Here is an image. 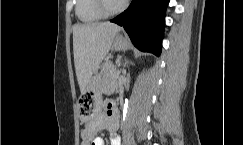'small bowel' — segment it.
<instances>
[{
	"label": "small bowel",
	"instance_id": "c3829d8e",
	"mask_svg": "<svg viewBox=\"0 0 243 145\" xmlns=\"http://www.w3.org/2000/svg\"><path fill=\"white\" fill-rule=\"evenodd\" d=\"M118 128V111L112 102L107 101L104 104L103 112L86 123L81 133V145H105L104 140L97 136L102 130H107L110 133L111 145H121L120 137L116 133Z\"/></svg>",
	"mask_w": 243,
	"mask_h": 145
}]
</instances>
